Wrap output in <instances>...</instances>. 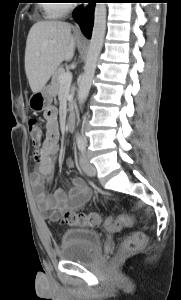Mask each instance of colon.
Masks as SVG:
<instances>
[{
	"instance_id": "obj_1",
	"label": "colon",
	"mask_w": 181,
	"mask_h": 300,
	"mask_svg": "<svg viewBox=\"0 0 181 300\" xmlns=\"http://www.w3.org/2000/svg\"><path fill=\"white\" fill-rule=\"evenodd\" d=\"M28 131L33 146L40 149L43 145V139L46 133L45 128L37 119L28 121ZM61 222L69 226H91L97 227L102 223V217L99 213H65L61 217ZM133 224V219L127 215L109 217L105 221V228L108 231H118ZM146 242V236L143 232L136 231L128 235L120 246V254L126 255Z\"/></svg>"
}]
</instances>
